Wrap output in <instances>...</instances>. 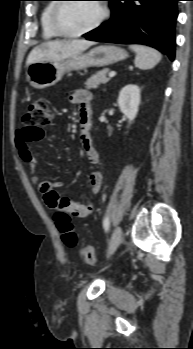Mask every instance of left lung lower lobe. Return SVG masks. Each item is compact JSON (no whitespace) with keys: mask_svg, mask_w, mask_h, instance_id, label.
<instances>
[{"mask_svg":"<svg viewBox=\"0 0 193 349\" xmlns=\"http://www.w3.org/2000/svg\"><path fill=\"white\" fill-rule=\"evenodd\" d=\"M112 11L107 24L84 35L87 40L139 43L175 55V23L179 0H109Z\"/></svg>","mask_w":193,"mask_h":349,"instance_id":"1","label":"left lung lower lobe"}]
</instances>
